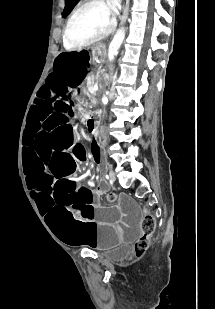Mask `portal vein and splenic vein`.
I'll return each mask as SVG.
<instances>
[{"label":"portal vein and splenic vein","mask_w":215,"mask_h":309,"mask_svg":"<svg viewBox=\"0 0 215 309\" xmlns=\"http://www.w3.org/2000/svg\"><path fill=\"white\" fill-rule=\"evenodd\" d=\"M97 88H98V86H97V84H95V86H94L92 92H95V90H97Z\"/></svg>","instance_id":"1"}]
</instances>
